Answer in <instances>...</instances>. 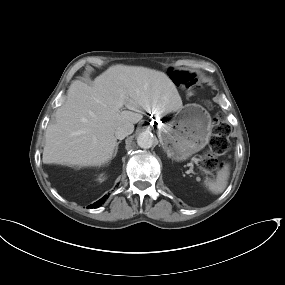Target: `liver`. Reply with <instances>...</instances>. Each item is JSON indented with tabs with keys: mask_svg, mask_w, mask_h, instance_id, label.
Segmentation results:
<instances>
[{
	"mask_svg": "<svg viewBox=\"0 0 285 285\" xmlns=\"http://www.w3.org/2000/svg\"><path fill=\"white\" fill-rule=\"evenodd\" d=\"M125 106L129 110L120 109ZM179 93L163 72L115 65L97 76L93 85L76 80L55 123L45 132L44 164L91 167L108 163L115 151L116 129L136 124L143 111L167 114L182 109Z\"/></svg>",
	"mask_w": 285,
	"mask_h": 285,
	"instance_id": "obj_1",
	"label": "liver"
}]
</instances>
